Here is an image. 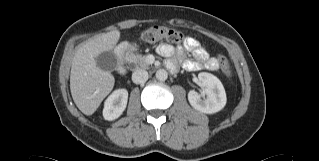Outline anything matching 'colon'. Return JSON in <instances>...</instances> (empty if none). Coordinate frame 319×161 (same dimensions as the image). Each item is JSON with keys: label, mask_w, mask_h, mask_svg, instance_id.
Instances as JSON below:
<instances>
[{"label": "colon", "mask_w": 319, "mask_h": 161, "mask_svg": "<svg viewBox=\"0 0 319 161\" xmlns=\"http://www.w3.org/2000/svg\"><path fill=\"white\" fill-rule=\"evenodd\" d=\"M143 39L148 43H155L161 40H167L177 44L182 42V40L184 39V35L181 31L176 29L154 26L147 29L143 33ZM210 68L212 70L221 69L226 75H232V70L230 69L226 61L221 57L215 58V60L210 63Z\"/></svg>", "instance_id": "obj_1"}]
</instances>
